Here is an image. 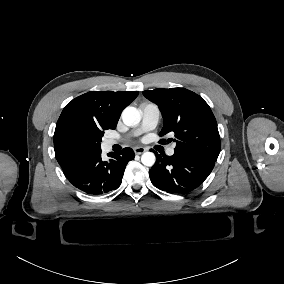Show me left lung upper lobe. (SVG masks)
Here are the masks:
<instances>
[{"label": "left lung upper lobe", "mask_w": 284, "mask_h": 284, "mask_svg": "<svg viewBox=\"0 0 284 284\" xmlns=\"http://www.w3.org/2000/svg\"><path fill=\"white\" fill-rule=\"evenodd\" d=\"M143 95L159 106L164 119L160 136L172 132L175 151L196 153L217 160L220 152L217 122L202 97L185 88L155 89L143 91Z\"/></svg>", "instance_id": "1"}]
</instances>
